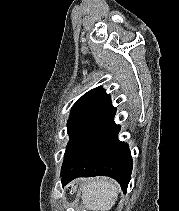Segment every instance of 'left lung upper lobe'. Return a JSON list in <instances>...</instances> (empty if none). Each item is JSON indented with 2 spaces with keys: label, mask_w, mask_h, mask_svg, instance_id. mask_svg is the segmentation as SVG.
I'll return each mask as SVG.
<instances>
[{
  "label": "left lung upper lobe",
  "mask_w": 179,
  "mask_h": 211,
  "mask_svg": "<svg viewBox=\"0 0 179 211\" xmlns=\"http://www.w3.org/2000/svg\"><path fill=\"white\" fill-rule=\"evenodd\" d=\"M110 105V96L102 87L88 91L73 105L67 124L70 140L64 154L62 170L77 152L89 129Z\"/></svg>",
  "instance_id": "1"
}]
</instances>
